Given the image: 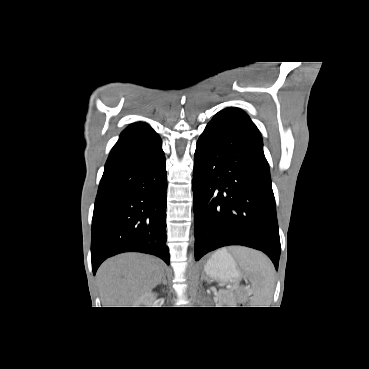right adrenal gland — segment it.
<instances>
[{
	"label": "right adrenal gland",
	"instance_id": "right-adrenal-gland-1",
	"mask_svg": "<svg viewBox=\"0 0 369 369\" xmlns=\"http://www.w3.org/2000/svg\"><path fill=\"white\" fill-rule=\"evenodd\" d=\"M161 283H163L164 285H166L167 284V281H166V275L163 273V275H162V280H161V282H159L158 284L160 285Z\"/></svg>",
	"mask_w": 369,
	"mask_h": 369
}]
</instances>
